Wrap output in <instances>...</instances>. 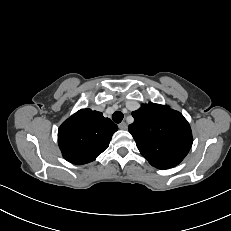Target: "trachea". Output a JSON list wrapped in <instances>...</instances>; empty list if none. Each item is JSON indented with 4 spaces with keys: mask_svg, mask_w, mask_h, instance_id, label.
<instances>
[{
    "mask_svg": "<svg viewBox=\"0 0 231 231\" xmlns=\"http://www.w3.org/2000/svg\"><path fill=\"white\" fill-rule=\"evenodd\" d=\"M123 113L120 111H116L113 115H112V119L115 123H120L123 120Z\"/></svg>",
    "mask_w": 231,
    "mask_h": 231,
    "instance_id": "3493384b",
    "label": "trachea"
}]
</instances>
